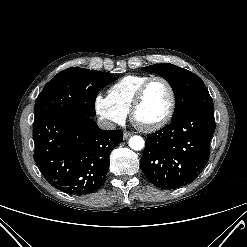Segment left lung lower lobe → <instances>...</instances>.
I'll return each mask as SVG.
<instances>
[{"label":"left lung lower lobe","mask_w":247,"mask_h":247,"mask_svg":"<svg viewBox=\"0 0 247 247\" xmlns=\"http://www.w3.org/2000/svg\"><path fill=\"white\" fill-rule=\"evenodd\" d=\"M214 112H189L148 134L141 169L156 187L175 189L194 181L210 155Z\"/></svg>","instance_id":"obj_1"}]
</instances>
